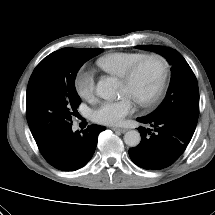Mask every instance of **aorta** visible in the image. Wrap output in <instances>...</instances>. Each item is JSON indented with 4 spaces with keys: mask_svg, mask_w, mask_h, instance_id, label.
I'll use <instances>...</instances> for the list:
<instances>
[{
    "mask_svg": "<svg viewBox=\"0 0 215 215\" xmlns=\"http://www.w3.org/2000/svg\"><path fill=\"white\" fill-rule=\"evenodd\" d=\"M96 94L105 100H115L120 95V84L116 78L107 77L101 79L96 86ZM141 141L137 130H130L124 135V142L130 147H136Z\"/></svg>",
    "mask_w": 215,
    "mask_h": 215,
    "instance_id": "obj_1",
    "label": "aorta"
}]
</instances>
